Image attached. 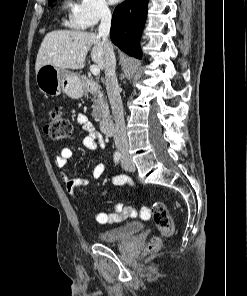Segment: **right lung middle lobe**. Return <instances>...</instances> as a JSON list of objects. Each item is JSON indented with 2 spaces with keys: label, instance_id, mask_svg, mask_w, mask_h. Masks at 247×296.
Wrapping results in <instances>:
<instances>
[{
  "label": "right lung middle lobe",
  "instance_id": "right-lung-middle-lobe-1",
  "mask_svg": "<svg viewBox=\"0 0 247 296\" xmlns=\"http://www.w3.org/2000/svg\"><path fill=\"white\" fill-rule=\"evenodd\" d=\"M54 1H56V0H49V3H52V2H54Z\"/></svg>",
  "mask_w": 247,
  "mask_h": 296
}]
</instances>
